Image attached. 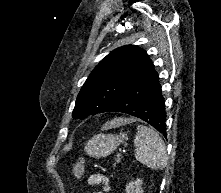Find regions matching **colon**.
I'll return each instance as SVG.
<instances>
[{
  "label": "colon",
  "instance_id": "5ec220e1",
  "mask_svg": "<svg viewBox=\"0 0 221 193\" xmlns=\"http://www.w3.org/2000/svg\"><path fill=\"white\" fill-rule=\"evenodd\" d=\"M84 163H85V159L79 158L78 161L74 165L73 172L77 180H80L82 177V174L84 171Z\"/></svg>",
  "mask_w": 221,
  "mask_h": 193
}]
</instances>
